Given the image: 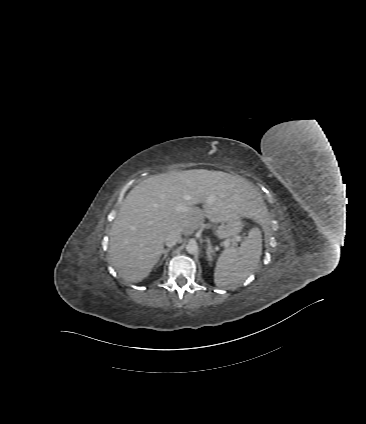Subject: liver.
Instances as JSON below:
<instances>
[{
    "instance_id": "obj_1",
    "label": "liver",
    "mask_w": 366,
    "mask_h": 424,
    "mask_svg": "<svg viewBox=\"0 0 366 424\" xmlns=\"http://www.w3.org/2000/svg\"><path fill=\"white\" fill-rule=\"evenodd\" d=\"M265 211L261 195L240 176L205 169L152 176L122 203L110 231V261L124 280L140 282L159 261L171 231L192 235L205 218L212 223L239 217L261 222Z\"/></svg>"
}]
</instances>
